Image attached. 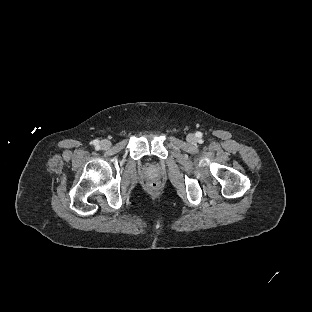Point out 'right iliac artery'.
<instances>
[{"label": "right iliac artery", "instance_id": "82829eb1", "mask_svg": "<svg viewBox=\"0 0 312 312\" xmlns=\"http://www.w3.org/2000/svg\"><path fill=\"white\" fill-rule=\"evenodd\" d=\"M93 144H94L95 146H98L99 141H98V140H94V141H93Z\"/></svg>", "mask_w": 312, "mask_h": 312}]
</instances>
